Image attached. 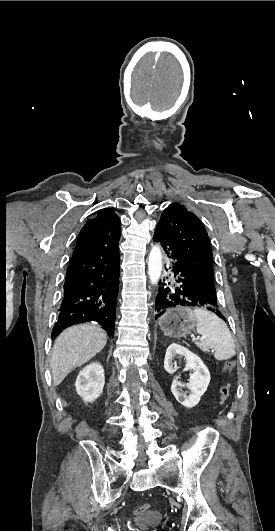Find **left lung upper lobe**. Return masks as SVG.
Masks as SVG:
<instances>
[{
	"label": "left lung upper lobe",
	"instance_id": "1",
	"mask_svg": "<svg viewBox=\"0 0 275 531\" xmlns=\"http://www.w3.org/2000/svg\"><path fill=\"white\" fill-rule=\"evenodd\" d=\"M178 251L190 283L197 293L217 304L213 279V256L206 229L184 206L172 203L158 224Z\"/></svg>",
	"mask_w": 275,
	"mask_h": 531
}]
</instances>
